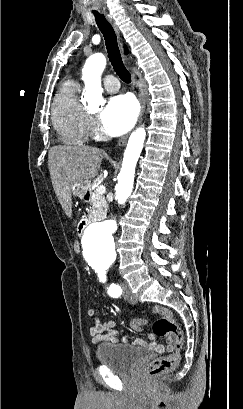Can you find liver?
I'll use <instances>...</instances> for the list:
<instances>
[{
	"label": "liver",
	"instance_id": "1",
	"mask_svg": "<svg viewBox=\"0 0 243 409\" xmlns=\"http://www.w3.org/2000/svg\"><path fill=\"white\" fill-rule=\"evenodd\" d=\"M105 153L89 146H54L48 153V167L57 198L67 216L72 214L71 187L88 185L100 171Z\"/></svg>",
	"mask_w": 243,
	"mask_h": 409
}]
</instances>
